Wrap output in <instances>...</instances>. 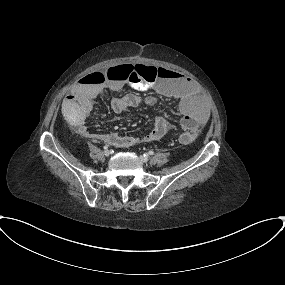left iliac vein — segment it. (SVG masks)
Wrapping results in <instances>:
<instances>
[{
  "label": "left iliac vein",
  "instance_id": "obj_1",
  "mask_svg": "<svg viewBox=\"0 0 285 285\" xmlns=\"http://www.w3.org/2000/svg\"><path fill=\"white\" fill-rule=\"evenodd\" d=\"M139 158H140L141 162H143V163H147L149 160L148 157L143 156V155H141Z\"/></svg>",
  "mask_w": 285,
  "mask_h": 285
}]
</instances>
